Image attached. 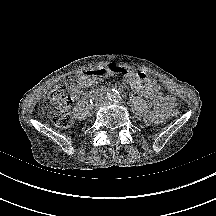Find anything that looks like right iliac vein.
Segmentation results:
<instances>
[{"instance_id": "1", "label": "right iliac vein", "mask_w": 216, "mask_h": 216, "mask_svg": "<svg viewBox=\"0 0 216 216\" xmlns=\"http://www.w3.org/2000/svg\"><path fill=\"white\" fill-rule=\"evenodd\" d=\"M102 104V101L96 102V106H100Z\"/></svg>"}]
</instances>
